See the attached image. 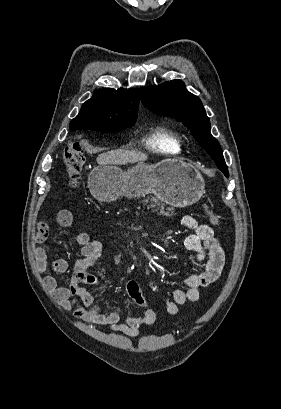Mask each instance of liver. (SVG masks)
I'll list each match as a JSON object with an SVG mask.
<instances>
[{"label":"liver","mask_w":281,"mask_h":409,"mask_svg":"<svg viewBox=\"0 0 281 409\" xmlns=\"http://www.w3.org/2000/svg\"><path fill=\"white\" fill-rule=\"evenodd\" d=\"M148 154L140 152V150H110L98 154L96 160L98 164H127V162H139V160H147Z\"/></svg>","instance_id":"1"}]
</instances>
